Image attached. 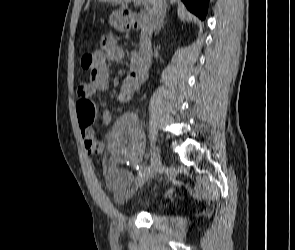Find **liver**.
<instances>
[{
	"mask_svg": "<svg viewBox=\"0 0 295 250\" xmlns=\"http://www.w3.org/2000/svg\"><path fill=\"white\" fill-rule=\"evenodd\" d=\"M102 2H120L121 0H100ZM125 2V4H122V9H124L125 7H127V3H129L131 0H123ZM145 2L149 3L152 6V11L153 13H155L156 8L158 7V5L162 4L163 5V1L165 2V0H144ZM176 2V0H170L171 4H174Z\"/></svg>",
	"mask_w": 295,
	"mask_h": 250,
	"instance_id": "6515ba94",
	"label": "liver"
}]
</instances>
